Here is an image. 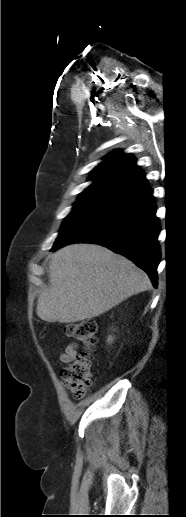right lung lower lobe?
Segmentation results:
<instances>
[{"mask_svg": "<svg viewBox=\"0 0 186 517\" xmlns=\"http://www.w3.org/2000/svg\"><path fill=\"white\" fill-rule=\"evenodd\" d=\"M155 213L152 189L144 188L116 202L52 250L81 242L103 245L132 260L156 287L161 253L157 241L160 223Z\"/></svg>", "mask_w": 186, "mask_h": 517, "instance_id": "obj_1", "label": "right lung lower lobe"}]
</instances>
